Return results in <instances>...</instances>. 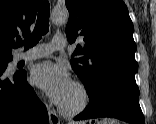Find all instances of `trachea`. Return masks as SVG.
Segmentation results:
<instances>
[{
  "label": "trachea",
  "instance_id": "1",
  "mask_svg": "<svg viewBox=\"0 0 156 124\" xmlns=\"http://www.w3.org/2000/svg\"><path fill=\"white\" fill-rule=\"evenodd\" d=\"M49 14H50V5L48 1H44L39 9L37 22L32 34L22 41L19 39L16 43L17 46L24 45L25 49L31 48L35 46L39 40L41 39L42 35H45L49 31Z\"/></svg>",
  "mask_w": 156,
  "mask_h": 124
}]
</instances>
